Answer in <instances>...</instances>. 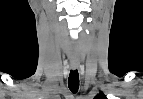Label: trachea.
Masks as SVG:
<instances>
[{"instance_id": "1", "label": "trachea", "mask_w": 143, "mask_h": 99, "mask_svg": "<svg viewBox=\"0 0 143 99\" xmlns=\"http://www.w3.org/2000/svg\"><path fill=\"white\" fill-rule=\"evenodd\" d=\"M68 87L72 93L79 89V74L77 70H71L68 78Z\"/></svg>"}]
</instances>
